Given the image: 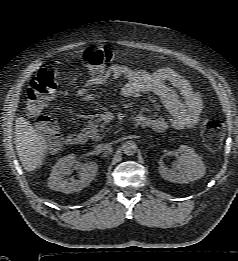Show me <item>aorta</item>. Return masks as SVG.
<instances>
[{
	"instance_id": "762f6f07",
	"label": "aorta",
	"mask_w": 238,
	"mask_h": 261,
	"mask_svg": "<svg viewBox=\"0 0 238 261\" xmlns=\"http://www.w3.org/2000/svg\"><path fill=\"white\" fill-rule=\"evenodd\" d=\"M123 152L127 156H132L137 152V145L134 141H126L122 146Z\"/></svg>"
}]
</instances>
